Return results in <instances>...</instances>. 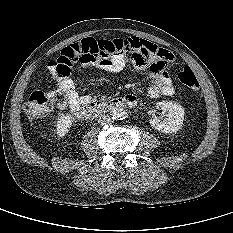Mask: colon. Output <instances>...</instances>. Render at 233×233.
Instances as JSON below:
<instances>
[{
	"label": "colon",
	"instance_id": "obj_1",
	"mask_svg": "<svg viewBox=\"0 0 233 233\" xmlns=\"http://www.w3.org/2000/svg\"><path fill=\"white\" fill-rule=\"evenodd\" d=\"M130 40L123 39H94L88 38L65 48L61 55L53 60L56 71L60 75H69L73 64L95 63L109 60L114 55H129L134 47ZM181 84L192 90L199 89V81L194 71L186 66L178 73ZM59 93L32 92L26 101V111L30 117H38L48 113L54 105Z\"/></svg>",
	"mask_w": 233,
	"mask_h": 233
}]
</instances>
